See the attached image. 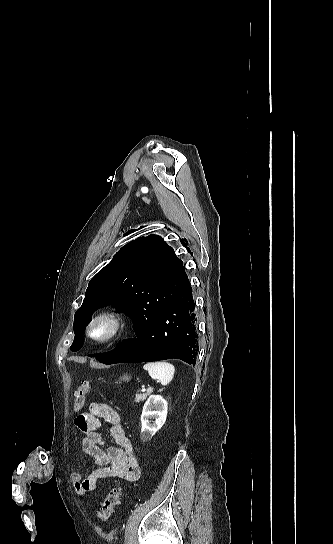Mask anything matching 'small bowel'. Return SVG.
<instances>
[{"label":"small bowel","mask_w":333,"mask_h":544,"mask_svg":"<svg viewBox=\"0 0 333 544\" xmlns=\"http://www.w3.org/2000/svg\"><path fill=\"white\" fill-rule=\"evenodd\" d=\"M106 423L114 441L105 448L106 442L100 429ZM76 427L84 434L81 440L83 451L91 456L98 466L89 476L74 471L70 479L78 495H85L98 488L105 478H120L134 481L140 476V466L132 442L123 428L121 415L106 403L92 402L89 412L75 419Z\"/></svg>","instance_id":"c3829d8e"}]
</instances>
